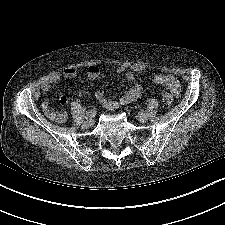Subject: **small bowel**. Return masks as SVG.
<instances>
[{"mask_svg":"<svg viewBox=\"0 0 225 225\" xmlns=\"http://www.w3.org/2000/svg\"><path fill=\"white\" fill-rule=\"evenodd\" d=\"M143 71L141 66H135L131 69L127 68L124 65H121L117 68V72L125 73V76L128 80L132 81L135 77V73ZM76 70L72 67L65 68L61 73L54 72L45 78L41 83V90L44 92L49 91L55 84H57L62 77L67 79H73L76 77ZM100 75V70L96 65H90L87 69L86 76L90 80L96 79ZM153 81L160 86L167 87L175 96H179L181 89L180 84L176 77L170 74H155L153 76ZM143 93V87L141 84H133L121 97L119 100H114L107 98L103 89H98L95 92V97L105 109L113 110L119 108L121 105H127L138 98L141 97ZM67 98L65 96L60 97L59 102L61 105L67 104ZM42 109L44 112L51 118L57 119L59 116H63L65 119V112L55 110L51 107L49 101H44L42 103ZM60 120V121H62Z\"/></svg>","mask_w":225,"mask_h":225,"instance_id":"small-bowel-1","label":"small bowel"}]
</instances>
